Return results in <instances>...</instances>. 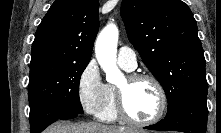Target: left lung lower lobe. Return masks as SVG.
<instances>
[{"mask_svg": "<svg viewBox=\"0 0 221 133\" xmlns=\"http://www.w3.org/2000/svg\"><path fill=\"white\" fill-rule=\"evenodd\" d=\"M207 117L206 96H196L186 100L157 124L147 126L145 129L205 133Z\"/></svg>", "mask_w": 221, "mask_h": 133, "instance_id": "obj_1", "label": "left lung lower lobe"}]
</instances>
